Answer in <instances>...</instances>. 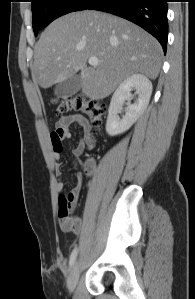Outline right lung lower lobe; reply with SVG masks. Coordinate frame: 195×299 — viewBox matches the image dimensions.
Instances as JSON below:
<instances>
[{
    "instance_id": "obj_1",
    "label": "right lung lower lobe",
    "mask_w": 195,
    "mask_h": 299,
    "mask_svg": "<svg viewBox=\"0 0 195 299\" xmlns=\"http://www.w3.org/2000/svg\"><path fill=\"white\" fill-rule=\"evenodd\" d=\"M167 1L92 0L85 9L108 12L132 21L152 34L166 52L168 39Z\"/></svg>"
}]
</instances>
